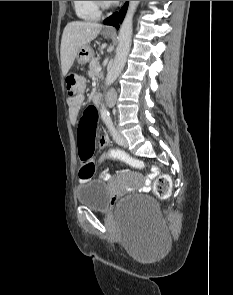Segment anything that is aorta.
I'll return each instance as SVG.
<instances>
[{"instance_id": "762f6f07", "label": "aorta", "mask_w": 233, "mask_h": 295, "mask_svg": "<svg viewBox=\"0 0 233 295\" xmlns=\"http://www.w3.org/2000/svg\"><path fill=\"white\" fill-rule=\"evenodd\" d=\"M140 1H129L128 10L119 31V44L116 50V56L111 69L106 77V85H111L123 70L131 46V37L133 32V17ZM101 114H108L104 103L101 104Z\"/></svg>"}]
</instances>
